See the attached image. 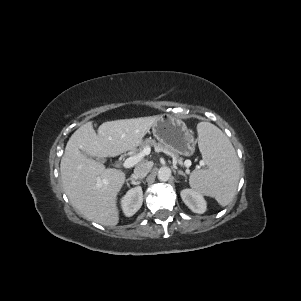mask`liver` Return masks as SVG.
<instances>
[{
	"label": "liver",
	"mask_w": 301,
	"mask_h": 301,
	"mask_svg": "<svg viewBox=\"0 0 301 301\" xmlns=\"http://www.w3.org/2000/svg\"><path fill=\"white\" fill-rule=\"evenodd\" d=\"M158 119L150 116L108 121L99 126L98 134L88 122L70 137L60 164L62 186L72 205L88 220L104 226L118 224L117 195L126 174L105 168L82 152L105 158L135 150Z\"/></svg>",
	"instance_id": "6515ba94"
}]
</instances>
